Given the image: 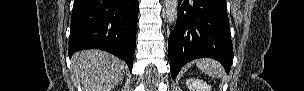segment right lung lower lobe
Returning <instances> with one entry per match:
<instances>
[{
	"label": "right lung lower lobe",
	"mask_w": 304,
	"mask_h": 91,
	"mask_svg": "<svg viewBox=\"0 0 304 91\" xmlns=\"http://www.w3.org/2000/svg\"><path fill=\"white\" fill-rule=\"evenodd\" d=\"M138 0H74L69 56L101 49L124 60L132 71Z\"/></svg>",
	"instance_id": "right-lung-lower-lobe-1"
}]
</instances>
